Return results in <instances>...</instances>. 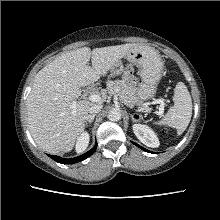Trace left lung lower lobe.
<instances>
[{
    "label": "left lung lower lobe",
    "instance_id": "left-lung-lower-lobe-1",
    "mask_svg": "<svg viewBox=\"0 0 220 220\" xmlns=\"http://www.w3.org/2000/svg\"><path fill=\"white\" fill-rule=\"evenodd\" d=\"M132 143L135 144L136 146H138L139 148H141L142 150L147 151V152H150V151L146 150L145 148L141 147L140 145H138V144H136V143H134V142H132Z\"/></svg>",
    "mask_w": 220,
    "mask_h": 220
}]
</instances>
